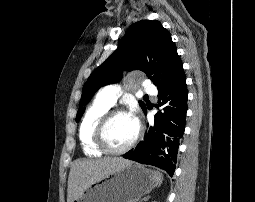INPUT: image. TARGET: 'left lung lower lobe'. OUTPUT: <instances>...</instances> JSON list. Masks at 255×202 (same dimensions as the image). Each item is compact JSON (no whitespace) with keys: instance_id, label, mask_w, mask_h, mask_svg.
<instances>
[{"instance_id":"left-lung-lower-lobe-1","label":"left lung lower lobe","mask_w":255,"mask_h":202,"mask_svg":"<svg viewBox=\"0 0 255 202\" xmlns=\"http://www.w3.org/2000/svg\"><path fill=\"white\" fill-rule=\"evenodd\" d=\"M158 91L156 107L162 109L155 114L154 124L149 126L144 140L128 151L124 158L159 167L172 176L179 140L185 130L188 92L184 71L172 84Z\"/></svg>"}]
</instances>
